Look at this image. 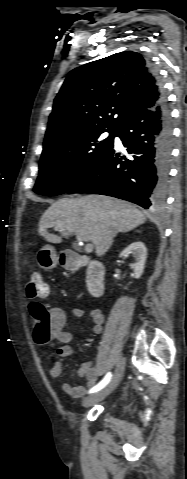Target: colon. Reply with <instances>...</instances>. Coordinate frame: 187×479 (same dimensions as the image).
I'll return each instance as SVG.
<instances>
[{
  "instance_id": "colon-1",
  "label": "colon",
  "mask_w": 187,
  "mask_h": 479,
  "mask_svg": "<svg viewBox=\"0 0 187 479\" xmlns=\"http://www.w3.org/2000/svg\"><path fill=\"white\" fill-rule=\"evenodd\" d=\"M26 290L28 297L31 299L45 298L48 295V286L44 281L42 272L33 271L31 273ZM30 309L36 329L40 331L42 336H46L49 333L51 325L49 311L39 302L32 303Z\"/></svg>"
}]
</instances>
